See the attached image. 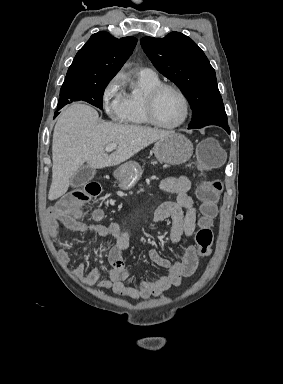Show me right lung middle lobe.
Here are the masks:
<instances>
[{"label":"right lung middle lobe","mask_w":283,"mask_h":384,"mask_svg":"<svg viewBox=\"0 0 283 384\" xmlns=\"http://www.w3.org/2000/svg\"><path fill=\"white\" fill-rule=\"evenodd\" d=\"M107 84L108 83L62 87L60 90L58 109H61L73 101H86L102 109L103 93Z\"/></svg>","instance_id":"dd1d6c3e"}]
</instances>
